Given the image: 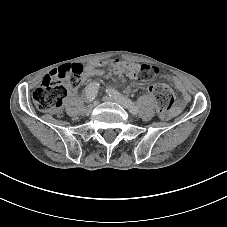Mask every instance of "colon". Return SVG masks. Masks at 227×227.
<instances>
[{
	"label": "colon",
	"mask_w": 227,
	"mask_h": 227,
	"mask_svg": "<svg viewBox=\"0 0 227 227\" xmlns=\"http://www.w3.org/2000/svg\"><path fill=\"white\" fill-rule=\"evenodd\" d=\"M84 71V67L80 64H65L52 70L34 89L32 93L34 105L40 111L59 114L63 99L69 92L80 86ZM159 73V69L155 66L140 65L139 77L141 79L152 80ZM149 91L156 100L160 116L167 118L175 103L172 89L167 85L157 83L151 85Z\"/></svg>",
	"instance_id": "5ec220e1"
}]
</instances>
